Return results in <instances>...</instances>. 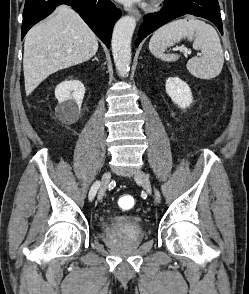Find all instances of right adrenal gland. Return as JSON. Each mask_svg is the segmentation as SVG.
<instances>
[{
    "instance_id": "2a0ac1e0",
    "label": "right adrenal gland",
    "mask_w": 249,
    "mask_h": 294,
    "mask_svg": "<svg viewBox=\"0 0 249 294\" xmlns=\"http://www.w3.org/2000/svg\"><path fill=\"white\" fill-rule=\"evenodd\" d=\"M94 60L99 61L97 57H94V58L92 59V61H94Z\"/></svg>"
}]
</instances>
